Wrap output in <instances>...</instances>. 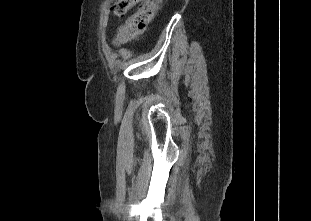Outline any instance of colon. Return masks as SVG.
<instances>
[{
    "mask_svg": "<svg viewBox=\"0 0 311 221\" xmlns=\"http://www.w3.org/2000/svg\"><path fill=\"white\" fill-rule=\"evenodd\" d=\"M164 0H143L138 11L130 15L118 31L116 44L125 43L136 38L155 17ZM138 0L111 1V15L113 17H126V12L137 4Z\"/></svg>",
    "mask_w": 311,
    "mask_h": 221,
    "instance_id": "obj_1",
    "label": "colon"
}]
</instances>
